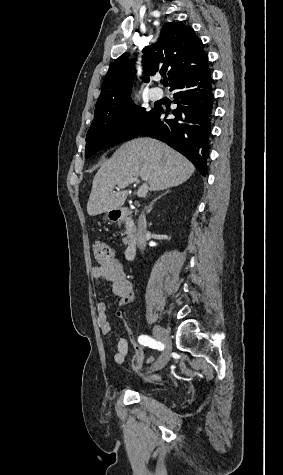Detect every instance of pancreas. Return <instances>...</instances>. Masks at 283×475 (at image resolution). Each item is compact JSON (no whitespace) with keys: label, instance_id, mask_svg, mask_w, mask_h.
Masks as SVG:
<instances>
[{"label":"pancreas","instance_id":"1","mask_svg":"<svg viewBox=\"0 0 283 475\" xmlns=\"http://www.w3.org/2000/svg\"><path fill=\"white\" fill-rule=\"evenodd\" d=\"M125 234H127L126 238H123V241L125 243V245H127V243H130L131 239L133 238V234H131V232H125Z\"/></svg>","mask_w":283,"mask_h":475}]
</instances>
